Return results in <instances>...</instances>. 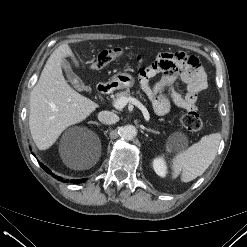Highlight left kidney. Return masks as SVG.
Segmentation results:
<instances>
[{
  "mask_svg": "<svg viewBox=\"0 0 247 247\" xmlns=\"http://www.w3.org/2000/svg\"><path fill=\"white\" fill-rule=\"evenodd\" d=\"M153 169L160 177H165L167 173L165 162L162 158H156L153 161Z\"/></svg>",
  "mask_w": 247,
  "mask_h": 247,
  "instance_id": "5707ae66",
  "label": "left kidney"
}]
</instances>
